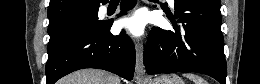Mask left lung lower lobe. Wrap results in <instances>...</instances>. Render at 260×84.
<instances>
[{
	"instance_id": "0a47b994",
	"label": "left lung lower lobe",
	"mask_w": 260,
	"mask_h": 84,
	"mask_svg": "<svg viewBox=\"0 0 260 84\" xmlns=\"http://www.w3.org/2000/svg\"><path fill=\"white\" fill-rule=\"evenodd\" d=\"M175 10L169 18L175 32L159 27L150 31L144 50L147 73L199 72L226 84L220 3L175 0ZM177 22L183 25L177 26Z\"/></svg>"
}]
</instances>
